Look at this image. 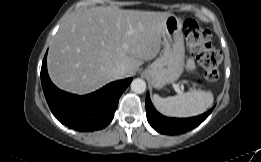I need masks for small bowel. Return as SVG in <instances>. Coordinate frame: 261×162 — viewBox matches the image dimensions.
I'll list each match as a JSON object with an SVG mask.
<instances>
[{
	"mask_svg": "<svg viewBox=\"0 0 261 162\" xmlns=\"http://www.w3.org/2000/svg\"><path fill=\"white\" fill-rule=\"evenodd\" d=\"M187 67L191 70L195 68L194 62L191 59L187 61Z\"/></svg>",
	"mask_w": 261,
	"mask_h": 162,
	"instance_id": "small-bowel-1",
	"label": "small bowel"
}]
</instances>
